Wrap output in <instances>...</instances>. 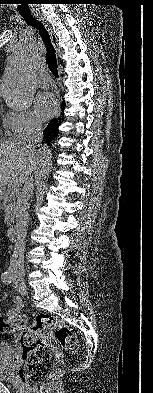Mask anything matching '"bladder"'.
I'll return each instance as SVG.
<instances>
[{"instance_id": "1", "label": "bladder", "mask_w": 153, "mask_h": 393, "mask_svg": "<svg viewBox=\"0 0 153 393\" xmlns=\"http://www.w3.org/2000/svg\"><path fill=\"white\" fill-rule=\"evenodd\" d=\"M16 364L14 362V351L10 345H0V380L15 382L14 373Z\"/></svg>"}]
</instances>
